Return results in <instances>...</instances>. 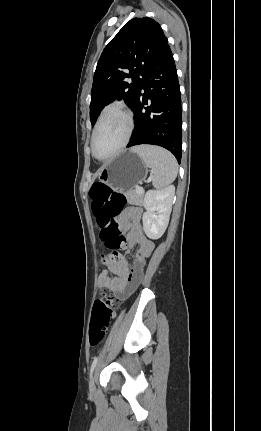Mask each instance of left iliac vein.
<instances>
[{
    "label": "left iliac vein",
    "mask_w": 261,
    "mask_h": 431,
    "mask_svg": "<svg viewBox=\"0 0 261 431\" xmlns=\"http://www.w3.org/2000/svg\"><path fill=\"white\" fill-rule=\"evenodd\" d=\"M89 387H90V393H91V394H95V392H96V387H95V374H94V375L91 377V379H90Z\"/></svg>",
    "instance_id": "left-iliac-vein-1"
}]
</instances>
